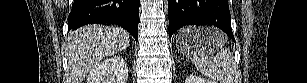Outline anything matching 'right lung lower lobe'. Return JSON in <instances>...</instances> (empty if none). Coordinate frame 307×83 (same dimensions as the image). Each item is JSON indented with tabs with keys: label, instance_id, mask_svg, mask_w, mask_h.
Listing matches in <instances>:
<instances>
[{
	"label": "right lung lower lobe",
	"instance_id": "1",
	"mask_svg": "<svg viewBox=\"0 0 307 83\" xmlns=\"http://www.w3.org/2000/svg\"><path fill=\"white\" fill-rule=\"evenodd\" d=\"M140 0H74L68 31L87 24H118L138 40Z\"/></svg>",
	"mask_w": 307,
	"mask_h": 83
}]
</instances>
